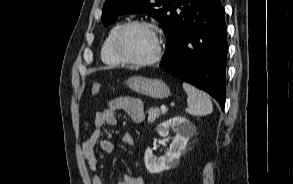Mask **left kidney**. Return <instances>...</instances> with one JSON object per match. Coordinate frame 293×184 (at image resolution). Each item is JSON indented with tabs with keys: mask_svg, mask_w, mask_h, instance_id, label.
<instances>
[{
	"mask_svg": "<svg viewBox=\"0 0 293 184\" xmlns=\"http://www.w3.org/2000/svg\"><path fill=\"white\" fill-rule=\"evenodd\" d=\"M169 129H173L176 136L165 156L156 158L150 148L145 151L144 162L149 173H159L175 167L188 140L196 131L195 125L182 116H176L161 123L157 127V132L160 136L167 137Z\"/></svg>",
	"mask_w": 293,
	"mask_h": 184,
	"instance_id": "1",
	"label": "left kidney"
}]
</instances>
